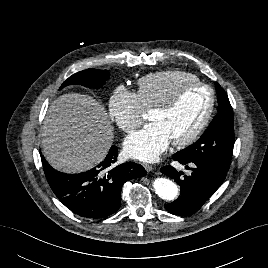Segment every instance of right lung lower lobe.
Instances as JSON below:
<instances>
[{
    "mask_svg": "<svg viewBox=\"0 0 268 268\" xmlns=\"http://www.w3.org/2000/svg\"><path fill=\"white\" fill-rule=\"evenodd\" d=\"M47 181L60 202L75 214L87 218H105L120 207L123 184L146 175L145 169L128 162L113 167L117 147L93 169L79 174H65L53 169L41 155Z\"/></svg>",
    "mask_w": 268,
    "mask_h": 268,
    "instance_id": "1",
    "label": "right lung lower lobe"
}]
</instances>
